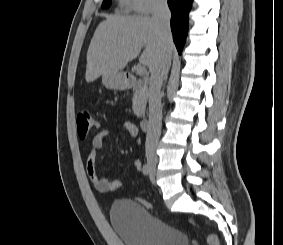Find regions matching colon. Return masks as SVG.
I'll list each match as a JSON object with an SVG mask.
<instances>
[{
    "mask_svg": "<svg viewBox=\"0 0 283 245\" xmlns=\"http://www.w3.org/2000/svg\"><path fill=\"white\" fill-rule=\"evenodd\" d=\"M77 133L81 140H85L89 133L97 127V122L92 118L91 114L87 111L80 112L76 118ZM120 179H112L110 181V191H116L120 188ZM141 204L146 208H152V205L145 200H141ZM208 245H219L218 237L214 234H208L206 236Z\"/></svg>",
    "mask_w": 283,
    "mask_h": 245,
    "instance_id": "1",
    "label": "colon"
}]
</instances>
